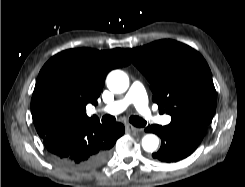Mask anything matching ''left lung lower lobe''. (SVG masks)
<instances>
[{
  "label": "left lung lower lobe",
  "mask_w": 245,
  "mask_h": 187,
  "mask_svg": "<svg viewBox=\"0 0 245 187\" xmlns=\"http://www.w3.org/2000/svg\"><path fill=\"white\" fill-rule=\"evenodd\" d=\"M146 132L157 134L161 138L160 149L153 153L154 159L162 162H177L191 155L202 141L206 126L204 125H151Z\"/></svg>",
  "instance_id": "1"
}]
</instances>
